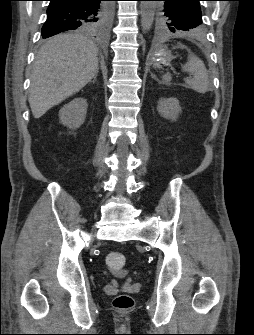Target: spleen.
Wrapping results in <instances>:
<instances>
[{
    "instance_id": "3e777b00",
    "label": "spleen",
    "mask_w": 254,
    "mask_h": 335,
    "mask_svg": "<svg viewBox=\"0 0 254 335\" xmlns=\"http://www.w3.org/2000/svg\"><path fill=\"white\" fill-rule=\"evenodd\" d=\"M184 72L193 76L191 79H185V83L194 91L198 93H205L209 90L210 80L208 71L201 59L190 54L188 61L182 67ZM163 81L168 83L171 81V74L167 73L162 77Z\"/></svg>"
}]
</instances>
